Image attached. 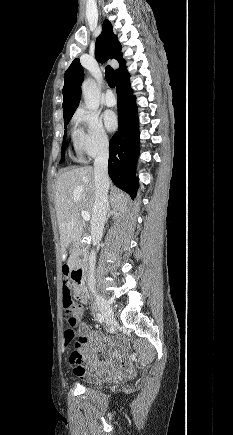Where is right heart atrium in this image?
<instances>
[{
    "label": "right heart atrium",
    "mask_w": 233,
    "mask_h": 435,
    "mask_svg": "<svg viewBox=\"0 0 233 435\" xmlns=\"http://www.w3.org/2000/svg\"><path fill=\"white\" fill-rule=\"evenodd\" d=\"M76 125L82 128L78 149L88 157H95L107 151L109 136L97 114L79 109L73 118Z\"/></svg>",
    "instance_id": "1"
}]
</instances>
